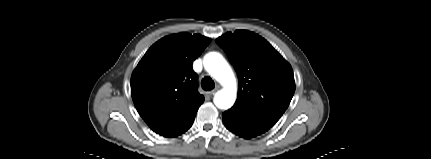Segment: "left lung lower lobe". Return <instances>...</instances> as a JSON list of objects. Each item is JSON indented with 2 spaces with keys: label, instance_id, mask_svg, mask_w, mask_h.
<instances>
[{
  "label": "left lung lower lobe",
  "instance_id": "obj_1",
  "mask_svg": "<svg viewBox=\"0 0 431 159\" xmlns=\"http://www.w3.org/2000/svg\"><path fill=\"white\" fill-rule=\"evenodd\" d=\"M222 117H223V123L228 130L245 139H250L258 135H261L262 133L270 129L265 126H259V125L243 122L229 115L226 112L223 113Z\"/></svg>",
  "mask_w": 431,
  "mask_h": 159
}]
</instances>
